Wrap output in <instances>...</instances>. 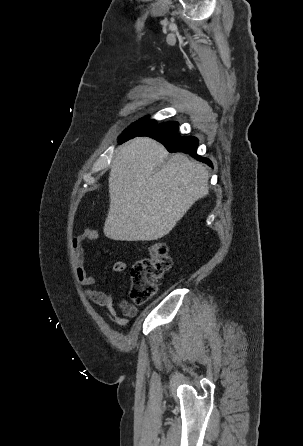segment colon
<instances>
[{"mask_svg":"<svg viewBox=\"0 0 303 446\" xmlns=\"http://www.w3.org/2000/svg\"><path fill=\"white\" fill-rule=\"evenodd\" d=\"M149 256L138 260L130 270V298L135 304H143L157 293L156 282L173 264L167 246L152 242L148 246Z\"/></svg>","mask_w":303,"mask_h":446,"instance_id":"1","label":"colon"}]
</instances>
